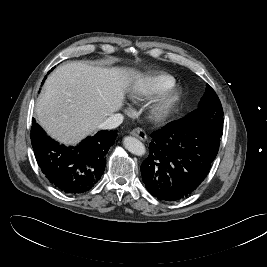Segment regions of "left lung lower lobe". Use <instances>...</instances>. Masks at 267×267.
I'll return each instance as SVG.
<instances>
[{"mask_svg": "<svg viewBox=\"0 0 267 267\" xmlns=\"http://www.w3.org/2000/svg\"><path fill=\"white\" fill-rule=\"evenodd\" d=\"M222 134L208 122L188 117L154 131L141 165L146 189L165 201L190 195L209 173Z\"/></svg>", "mask_w": 267, "mask_h": 267, "instance_id": "obj_1", "label": "left lung lower lobe"}]
</instances>
